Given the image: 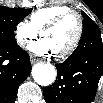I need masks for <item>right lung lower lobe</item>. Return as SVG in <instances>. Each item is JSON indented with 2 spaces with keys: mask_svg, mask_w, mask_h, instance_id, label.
I'll return each mask as SVG.
<instances>
[{
  "mask_svg": "<svg viewBox=\"0 0 103 103\" xmlns=\"http://www.w3.org/2000/svg\"><path fill=\"white\" fill-rule=\"evenodd\" d=\"M31 69L29 55L17 43L0 42V103H13Z\"/></svg>",
  "mask_w": 103,
  "mask_h": 103,
  "instance_id": "1",
  "label": "right lung lower lobe"
}]
</instances>
